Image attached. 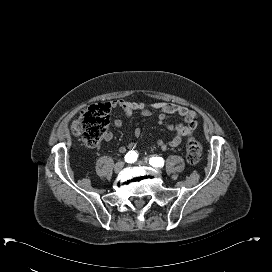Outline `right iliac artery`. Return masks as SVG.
Returning <instances> with one entry per match:
<instances>
[{
    "label": "right iliac artery",
    "mask_w": 272,
    "mask_h": 272,
    "mask_svg": "<svg viewBox=\"0 0 272 272\" xmlns=\"http://www.w3.org/2000/svg\"><path fill=\"white\" fill-rule=\"evenodd\" d=\"M138 158V154L135 151H129L125 156L127 163H134Z\"/></svg>",
    "instance_id": "obj_1"
}]
</instances>
